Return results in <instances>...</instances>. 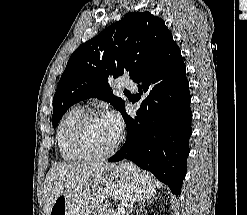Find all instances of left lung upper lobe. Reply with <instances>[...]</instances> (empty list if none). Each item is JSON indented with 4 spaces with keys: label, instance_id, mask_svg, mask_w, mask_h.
<instances>
[{
    "label": "left lung upper lobe",
    "instance_id": "1",
    "mask_svg": "<svg viewBox=\"0 0 247 215\" xmlns=\"http://www.w3.org/2000/svg\"><path fill=\"white\" fill-rule=\"evenodd\" d=\"M172 34L164 21L149 12H131L98 36L78 47L68 60L53 99L52 124L57 126L67 109L95 97L123 111L125 102L108 84L129 73L134 81L161 54Z\"/></svg>",
    "mask_w": 247,
    "mask_h": 215
}]
</instances>
